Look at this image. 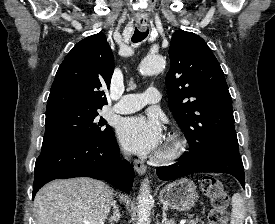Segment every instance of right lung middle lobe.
<instances>
[{"mask_svg": "<svg viewBox=\"0 0 275 224\" xmlns=\"http://www.w3.org/2000/svg\"><path fill=\"white\" fill-rule=\"evenodd\" d=\"M99 109L64 108L46 113V142H95L108 137L113 131Z\"/></svg>", "mask_w": 275, "mask_h": 224, "instance_id": "1", "label": "right lung middle lobe"}]
</instances>
